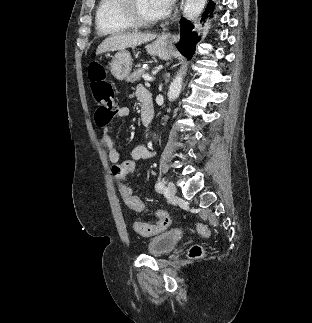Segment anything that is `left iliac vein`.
Wrapping results in <instances>:
<instances>
[{"mask_svg": "<svg viewBox=\"0 0 312 323\" xmlns=\"http://www.w3.org/2000/svg\"><path fill=\"white\" fill-rule=\"evenodd\" d=\"M166 192L168 193L169 196H174L176 194V186L174 183L169 182L167 185Z\"/></svg>", "mask_w": 312, "mask_h": 323, "instance_id": "4c4485c4", "label": "left iliac vein"}]
</instances>
